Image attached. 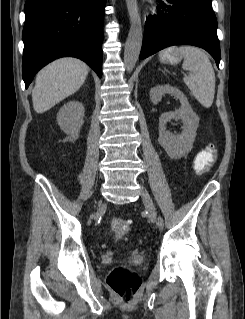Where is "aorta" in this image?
Masks as SVG:
<instances>
[{"mask_svg":"<svg viewBox=\"0 0 245 319\" xmlns=\"http://www.w3.org/2000/svg\"><path fill=\"white\" fill-rule=\"evenodd\" d=\"M127 10L130 19V29L125 43L124 64L128 72H131L139 58L143 29L137 0H126Z\"/></svg>","mask_w":245,"mask_h":319,"instance_id":"1","label":"aorta"}]
</instances>
